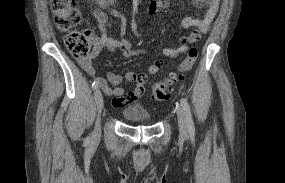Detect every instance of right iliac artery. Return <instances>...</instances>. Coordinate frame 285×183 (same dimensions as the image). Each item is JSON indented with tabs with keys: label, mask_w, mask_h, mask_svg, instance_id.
Instances as JSON below:
<instances>
[{
	"label": "right iliac artery",
	"mask_w": 285,
	"mask_h": 183,
	"mask_svg": "<svg viewBox=\"0 0 285 183\" xmlns=\"http://www.w3.org/2000/svg\"><path fill=\"white\" fill-rule=\"evenodd\" d=\"M93 90H96L98 88V82L94 81L92 84ZM90 138H87V141H89Z\"/></svg>",
	"instance_id": "obj_1"
}]
</instances>
